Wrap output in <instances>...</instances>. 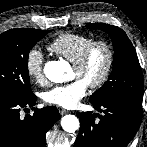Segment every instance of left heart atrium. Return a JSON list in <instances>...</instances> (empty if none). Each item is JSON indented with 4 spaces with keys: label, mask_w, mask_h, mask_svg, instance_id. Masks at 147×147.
Wrapping results in <instances>:
<instances>
[{
    "label": "left heart atrium",
    "mask_w": 147,
    "mask_h": 147,
    "mask_svg": "<svg viewBox=\"0 0 147 147\" xmlns=\"http://www.w3.org/2000/svg\"><path fill=\"white\" fill-rule=\"evenodd\" d=\"M87 88L88 84L85 81L75 79L68 84L51 88L44 93L43 98L48 104L71 109L86 95Z\"/></svg>",
    "instance_id": "obj_1"
}]
</instances>
